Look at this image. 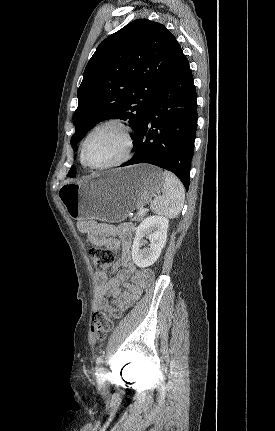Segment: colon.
<instances>
[{
    "label": "colon",
    "mask_w": 275,
    "mask_h": 431,
    "mask_svg": "<svg viewBox=\"0 0 275 431\" xmlns=\"http://www.w3.org/2000/svg\"><path fill=\"white\" fill-rule=\"evenodd\" d=\"M90 260L98 272H105L114 261V253L108 248L94 247L89 251ZM121 317L117 309L98 310L92 317L91 330L94 336L102 340L112 331L114 321Z\"/></svg>",
    "instance_id": "colon-1"
}]
</instances>
